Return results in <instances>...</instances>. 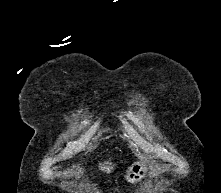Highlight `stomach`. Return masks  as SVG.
Wrapping results in <instances>:
<instances>
[{
    "instance_id": "stomach-1",
    "label": "stomach",
    "mask_w": 221,
    "mask_h": 193,
    "mask_svg": "<svg viewBox=\"0 0 221 193\" xmlns=\"http://www.w3.org/2000/svg\"><path fill=\"white\" fill-rule=\"evenodd\" d=\"M150 166L145 161L135 162L131 167L128 168L126 174V180L131 184L140 182L143 178L146 177L147 172Z\"/></svg>"
}]
</instances>
